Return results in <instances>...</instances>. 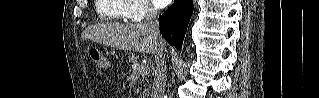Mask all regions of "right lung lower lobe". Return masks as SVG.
<instances>
[{"label":"right lung lower lobe","mask_w":319,"mask_h":98,"mask_svg":"<svg viewBox=\"0 0 319 98\" xmlns=\"http://www.w3.org/2000/svg\"><path fill=\"white\" fill-rule=\"evenodd\" d=\"M192 13V0H175L172 6L159 17L161 34L177 49L182 47Z\"/></svg>","instance_id":"98d812e1"}]
</instances>
